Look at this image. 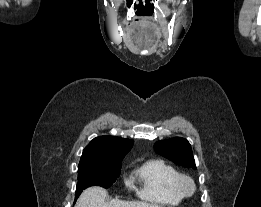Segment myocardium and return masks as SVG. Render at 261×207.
<instances>
[{
  "label": "myocardium",
  "instance_id": "1",
  "mask_svg": "<svg viewBox=\"0 0 261 207\" xmlns=\"http://www.w3.org/2000/svg\"><path fill=\"white\" fill-rule=\"evenodd\" d=\"M177 188L183 196H190L194 193L196 185L191 177L185 174H179L177 178Z\"/></svg>",
  "mask_w": 261,
  "mask_h": 207
}]
</instances>
